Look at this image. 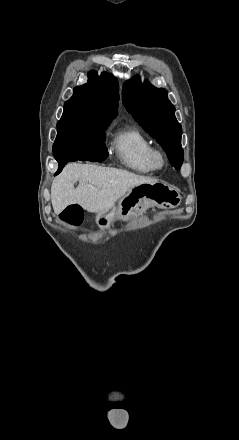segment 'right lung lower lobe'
Listing matches in <instances>:
<instances>
[{
    "instance_id": "98d812e1",
    "label": "right lung lower lobe",
    "mask_w": 239,
    "mask_h": 440,
    "mask_svg": "<svg viewBox=\"0 0 239 440\" xmlns=\"http://www.w3.org/2000/svg\"><path fill=\"white\" fill-rule=\"evenodd\" d=\"M55 159L59 164L58 171L56 174L61 172L62 168L65 166L67 162L70 161H92V162H102L108 156V151L105 146H80L74 147L69 150H63L57 154H54Z\"/></svg>"
}]
</instances>
